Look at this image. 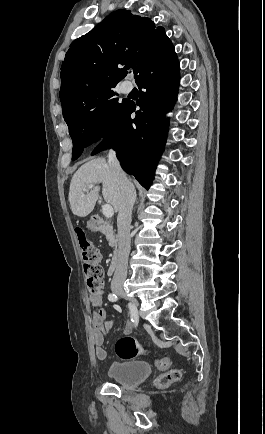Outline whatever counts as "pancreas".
Listing matches in <instances>:
<instances>
[{"label": "pancreas", "instance_id": "obj_1", "mask_svg": "<svg viewBox=\"0 0 265 434\" xmlns=\"http://www.w3.org/2000/svg\"><path fill=\"white\" fill-rule=\"evenodd\" d=\"M106 240L109 242V246L111 248H114V250H117V240L116 236H114L113 232L107 228V232H105Z\"/></svg>", "mask_w": 265, "mask_h": 434}]
</instances>
